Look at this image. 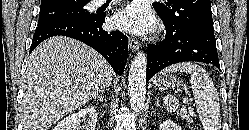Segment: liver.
<instances>
[{"mask_svg": "<svg viewBox=\"0 0 249 130\" xmlns=\"http://www.w3.org/2000/svg\"><path fill=\"white\" fill-rule=\"evenodd\" d=\"M113 70L94 49L57 36L30 54L23 84V130H48L111 84Z\"/></svg>", "mask_w": 249, "mask_h": 130, "instance_id": "1", "label": "liver"}]
</instances>
